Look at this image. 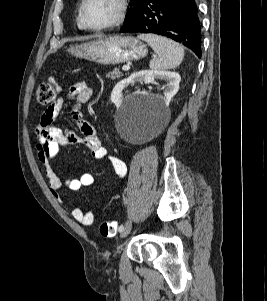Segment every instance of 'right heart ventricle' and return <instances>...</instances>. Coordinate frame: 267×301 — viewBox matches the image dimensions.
Returning a JSON list of instances; mask_svg holds the SVG:
<instances>
[{"instance_id": "e07e8e85", "label": "right heart ventricle", "mask_w": 267, "mask_h": 301, "mask_svg": "<svg viewBox=\"0 0 267 301\" xmlns=\"http://www.w3.org/2000/svg\"><path fill=\"white\" fill-rule=\"evenodd\" d=\"M76 23H77V27H78L79 29H83V26L81 25L80 20H79V14H78V16H77Z\"/></svg>"}]
</instances>
